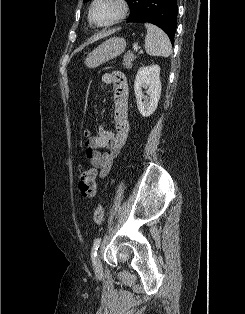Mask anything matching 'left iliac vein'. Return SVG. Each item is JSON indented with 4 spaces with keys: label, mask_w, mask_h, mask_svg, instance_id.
I'll return each instance as SVG.
<instances>
[{
    "label": "left iliac vein",
    "mask_w": 245,
    "mask_h": 314,
    "mask_svg": "<svg viewBox=\"0 0 245 314\" xmlns=\"http://www.w3.org/2000/svg\"><path fill=\"white\" fill-rule=\"evenodd\" d=\"M94 270L96 273L102 272V264L100 262L99 256L94 259Z\"/></svg>",
    "instance_id": "left-iliac-vein-1"
}]
</instances>
